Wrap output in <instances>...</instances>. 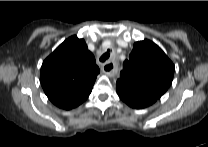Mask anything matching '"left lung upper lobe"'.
<instances>
[{"label":"left lung upper lobe","mask_w":208,"mask_h":147,"mask_svg":"<svg viewBox=\"0 0 208 147\" xmlns=\"http://www.w3.org/2000/svg\"><path fill=\"white\" fill-rule=\"evenodd\" d=\"M174 69V64L155 43L139 41L123 63L116 84L159 99L171 85Z\"/></svg>","instance_id":"left-lung-upper-lobe-1"}]
</instances>
